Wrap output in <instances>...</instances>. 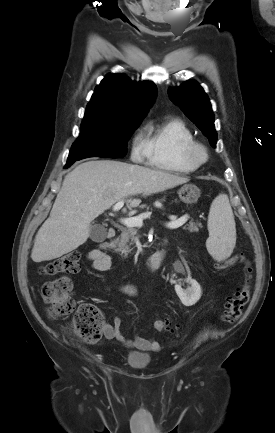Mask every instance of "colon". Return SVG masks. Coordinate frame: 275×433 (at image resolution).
<instances>
[{"instance_id": "5ec220e1", "label": "colon", "mask_w": 275, "mask_h": 433, "mask_svg": "<svg viewBox=\"0 0 275 433\" xmlns=\"http://www.w3.org/2000/svg\"><path fill=\"white\" fill-rule=\"evenodd\" d=\"M244 264L243 282L230 296L225 304L223 319L229 324L237 322L243 314L244 308L250 299L251 266L239 255L235 260L217 265L224 268L234 262ZM81 270L80 254L78 252L66 253L42 267V273L57 276L42 286V298L49 305V316L53 319H65L72 316L70 329L87 344L97 342L102 335L103 314L92 303H82L78 307L72 294L71 276ZM156 331H175L176 326L165 319L154 321Z\"/></svg>"}]
</instances>
